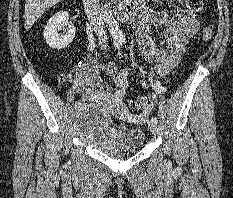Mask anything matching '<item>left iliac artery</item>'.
<instances>
[{"mask_svg": "<svg viewBox=\"0 0 233 198\" xmlns=\"http://www.w3.org/2000/svg\"><path fill=\"white\" fill-rule=\"evenodd\" d=\"M142 85H143V87H146V84H145V82H143V81H142ZM152 87H154V89H155V90H158V91H159V89H161V87L159 86V84H153V83H152ZM162 90H164V88H162ZM151 120H152L153 122H155L156 124H157V122H158V120H157L156 117H152Z\"/></svg>", "mask_w": 233, "mask_h": 198, "instance_id": "left-iliac-artery-1", "label": "left iliac artery"}]
</instances>
